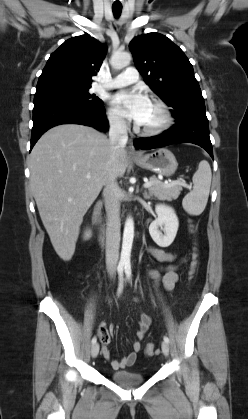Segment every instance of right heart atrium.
<instances>
[{
  "instance_id": "1",
  "label": "right heart atrium",
  "mask_w": 248,
  "mask_h": 419,
  "mask_svg": "<svg viewBox=\"0 0 248 419\" xmlns=\"http://www.w3.org/2000/svg\"><path fill=\"white\" fill-rule=\"evenodd\" d=\"M107 118L112 128L118 131L126 130L127 122L116 109L110 107L107 111Z\"/></svg>"
}]
</instances>
